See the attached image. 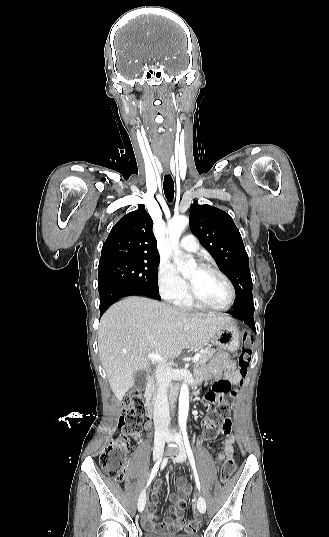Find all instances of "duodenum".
I'll use <instances>...</instances> for the list:
<instances>
[{
  "label": "duodenum",
  "mask_w": 329,
  "mask_h": 537,
  "mask_svg": "<svg viewBox=\"0 0 329 537\" xmlns=\"http://www.w3.org/2000/svg\"><path fill=\"white\" fill-rule=\"evenodd\" d=\"M147 387H148L147 398H146L147 415H148L149 418H151L153 416V412H154V402H153L152 394H151V380H150V378L147 379Z\"/></svg>",
  "instance_id": "410a0bca"
}]
</instances>
